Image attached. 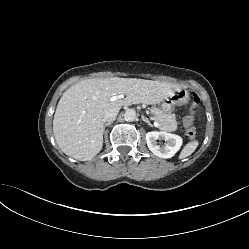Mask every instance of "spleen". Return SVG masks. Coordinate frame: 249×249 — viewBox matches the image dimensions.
Instances as JSON below:
<instances>
[{"instance_id": "obj_1", "label": "spleen", "mask_w": 249, "mask_h": 249, "mask_svg": "<svg viewBox=\"0 0 249 249\" xmlns=\"http://www.w3.org/2000/svg\"><path fill=\"white\" fill-rule=\"evenodd\" d=\"M198 146V141L189 142L181 151L179 158L183 159L190 156Z\"/></svg>"}]
</instances>
